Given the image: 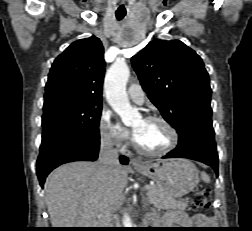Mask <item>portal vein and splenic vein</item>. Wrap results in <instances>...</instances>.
<instances>
[{"label": "portal vein and splenic vein", "instance_id": "portal-vein-and-splenic-vein-1", "mask_svg": "<svg viewBox=\"0 0 252 231\" xmlns=\"http://www.w3.org/2000/svg\"><path fill=\"white\" fill-rule=\"evenodd\" d=\"M144 188H145L146 190H149V189H150V187H149L148 185H146Z\"/></svg>", "mask_w": 252, "mask_h": 231}]
</instances>
